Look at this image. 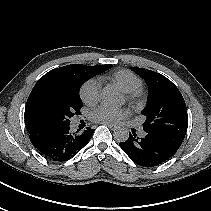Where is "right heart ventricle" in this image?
Returning <instances> with one entry per match:
<instances>
[{
	"mask_svg": "<svg viewBox=\"0 0 211 211\" xmlns=\"http://www.w3.org/2000/svg\"><path fill=\"white\" fill-rule=\"evenodd\" d=\"M108 79L118 85L124 92L134 91L142 87L141 79L125 69L113 72Z\"/></svg>",
	"mask_w": 211,
	"mask_h": 211,
	"instance_id": "1",
	"label": "right heart ventricle"
}]
</instances>
